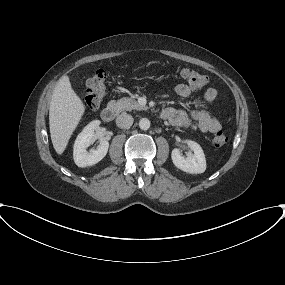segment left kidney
<instances>
[{
  "label": "left kidney",
  "mask_w": 285,
  "mask_h": 285,
  "mask_svg": "<svg viewBox=\"0 0 285 285\" xmlns=\"http://www.w3.org/2000/svg\"><path fill=\"white\" fill-rule=\"evenodd\" d=\"M187 144L194 153L184 157L178 149H173L171 153L173 164L178 169L190 174H200L205 172L206 159L201 146L191 140L187 141Z\"/></svg>",
  "instance_id": "5707ae66"
}]
</instances>
